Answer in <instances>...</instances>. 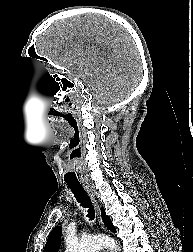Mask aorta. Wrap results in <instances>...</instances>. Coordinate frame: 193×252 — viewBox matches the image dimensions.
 <instances>
[{"instance_id":"1","label":"aorta","mask_w":193,"mask_h":252,"mask_svg":"<svg viewBox=\"0 0 193 252\" xmlns=\"http://www.w3.org/2000/svg\"><path fill=\"white\" fill-rule=\"evenodd\" d=\"M109 247L111 252L119 251L114 239L96 235L83 238L80 241L68 240L65 252H98L103 247Z\"/></svg>"}]
</instances>
